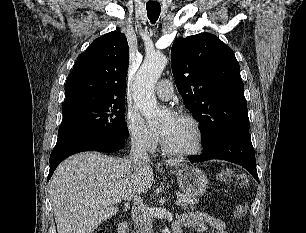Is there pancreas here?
<instances>
[{
	"label": "pancreas",
	"mask_w": 306,
	"mask_h": 233,
	"mask_svg": "<svg viewBox=\"0 0 306 233\" xmlns=\"http://www.w3.org/2000/svg\"><path fill=\"white\" fill-rule=\"evenodd\" d=\"M179 199L182 200L181 206L186 209L187 206L193 207L195 204L198 203V199L189 195H182L179 194Z\"/></svg>",
	"instance_id": "cf45deb5"
}]
</instances>
